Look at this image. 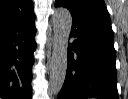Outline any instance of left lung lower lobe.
Wrapping results in <instances>:
<instances>
[{
	"label": "left lung lower lobe",
	"mask_w": 128,
	"mask_h": 99,
	"mask_svg": "<svg viewBox=\"0 0 128 99\" xmlns=\"http://www.w3.org/2000/svg\"><path fill=\"white\" fill-rule=\"evenodd\" d=\"M70 37L76 40L68 45L66 77L57 99H118L111 25L73 18Z\"/></svg>",
	"instance_id": "obj_1"
}]
</instances>
